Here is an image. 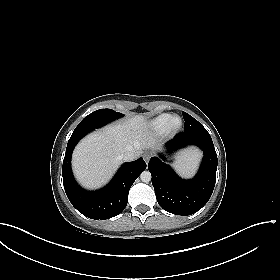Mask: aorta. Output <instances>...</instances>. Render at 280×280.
<instances>
[{"label": "aorta", "mask_w": 280, "mask_h": 280, "mask_svg": "<svg viewBox=\"0 0 280 280\" xmlns=\"http://www.w3.org/2000/svg\"><path fill=\"white\" fill-rule=\"evenodd\" d=\"M151 173L149 171H143L140 175V179L142 182H149L151 180Z\"/></svg>", "instance_id": "1"}]
</instances>
